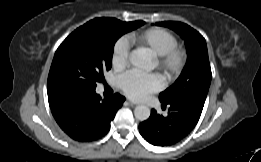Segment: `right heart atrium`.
Returning a JSON list of instances; mask_svg holds the SVG:
<instances>
[{
	"label": "right heart atrium",
	"instance_id": "right-heart-atrium-1",
	"mask_svg": "<svg viewBox=\"0 0 261 162\" xmlns=\"http://www.w3.org/2000/svg\"><path fill=\"white\" fill-rule=\"evenodd\" d=\"M111 62L113 67L118 71L123 70L128 65V45L126 40L122 39L116 43Z\"/></svg>",
	"mask_w": 261,
	"mask_h": 162
}]
</instances>
